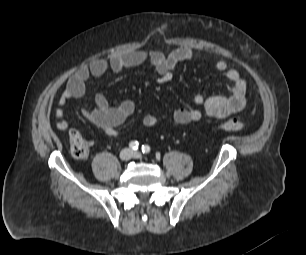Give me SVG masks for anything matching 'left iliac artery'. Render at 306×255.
I'll return each mask as SVG.
<instances>
[{
    "label": "left iliac artery",
    "mask_w": 306,
    "mask_h": 255,
    "mask_svg": "<svg viewBox=\"0 0 306 255\" xmlns=\"http://www.w3.org/2000/svg\"><path fill=\"white\" fill-rule=\"evenodd\" d=\"M141 150H142V152H143L144 154H147V153L150 152L151 148H150L149 145H142Z\"/></svg>",
    "instance_id": "left-iliac-artery-1"
}]
</instances>
